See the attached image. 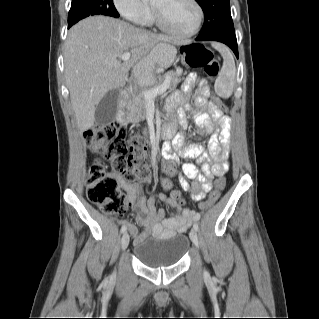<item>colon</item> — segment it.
Masks as SVG:
<instances>
[{
	"label": "colon",
	"mask_w": 319,
	"mask_h": 319,
	"mask_svg": "<svg viewBox=\"0 0 319 319\" xmlns=\"http://www.w3.org/2000/svg\"><path fill=\"white\" fill-rule=\"evenodd\" d=\"M181 62L192 68L204 69L212 81L220 73L219 62L212 52L197 44L182 46ZM211 105L216 109H225L222 101L215 96L212 97ZM85 142L91 152L102 154L111 163V171H107L99 161L90 165L86 183L89 200L99 205L106 214L122 215L128 203L114 174L122 175L127 181L149 176L152 162L144 151L145 140L139 134L126 139L124 129L119 124L107 122L91 127L85 135ZM225 183L223 177L216 179L215 190L209 200L201 205L202 211L218 202ZM164 184L168 182L164 181ZM171 197L183 205L184 201L178 191H173Z\"/></svg>",
	"instance_id": "5ec220e1"
}]
</instances>
